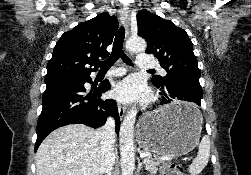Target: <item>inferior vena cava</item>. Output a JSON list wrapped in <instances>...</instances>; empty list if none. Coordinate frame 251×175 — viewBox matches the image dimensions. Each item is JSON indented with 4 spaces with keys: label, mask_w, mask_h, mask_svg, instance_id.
Listing matches in <instances>:
<instances>
[{
    "label": "inferior vena cava",
    "mask_w": 251,
    "mask_h": 175,
    "mask_svg": "<svg viewBox=\"0 0 251 175\" xmlns=\"http://www.w3.org/2000/svg\"><path fill=\"white\" fill-rule=\"evenodd\" d=\"M98 131L101 139L100 169L102 173L111 175V169L115 163V119H113V117H108L105 125L100 127Z\"/></svg>",
    "instance_id": "602c4592"
}]
</instances>
